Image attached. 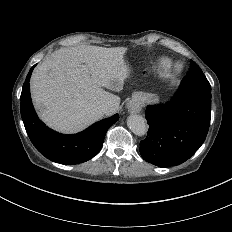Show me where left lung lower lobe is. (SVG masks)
<instances>
[{
    "mask_svg": "<svg viewBox=\"0 0 232 232\" xmlns=\"http://www.w3.org/2000/svg\"><path fill=\"white\" fill-rule=\"evenodd\" d=\"M149 131L140 142L144 160L159 167L180 165L201 147L209 130L211 102L182 91L171 102L146 108Z\"/></svg>",
    "mask_w": 232,
    "mask_h": 232,
    "instance_id": "0a47b994",
    "label": "left lung lower lobe"
}]
</instances>
